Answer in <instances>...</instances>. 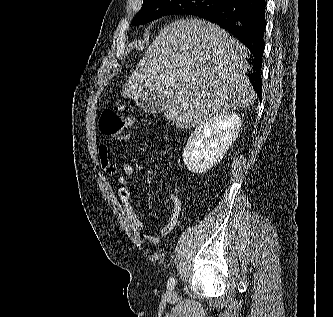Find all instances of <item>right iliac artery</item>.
I'll return each instance as SVG.
<instances>
[{"instance_id": "right-iliac-artery-1", "label": "right iliac artery", "mask_w": 333, "mask_h": 317, "mask_svg": "<svg viewBox=\"0 0 333 317\" xmlns=\"http://www.w3.org/2000/svg\"><path fill=\"white\" fill-rule=\"evenodd\" d=\"M175 287V279L173 277H171L169 280H168V283H167V288L169 290H173Z\"/></svg>"}]
</instances>
